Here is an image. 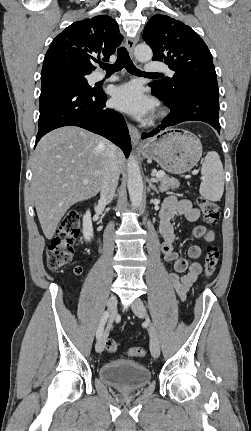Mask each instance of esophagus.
<instances>
[{
	"instance_id": "1",
	"label": "esophagus",
	"mask_w": 251,
	"mask_h": 431,
	"mask_svg": "<svg viewBox=\"0 0 251 431\" xmlns=\"http://www.w3.org/2000/svg\"><path fill=\"white\" fill-rule=\"evenodd\" d=\"M138 39H139L138 36L128 37L126 39L125 46L131 55H133L134 47L137 44ZM128 129H129V133L131 136V140H132L133 144L136 145L140 139V132L134 125H132L130 123H128Z\"/></svg>"
}]
</instances>
